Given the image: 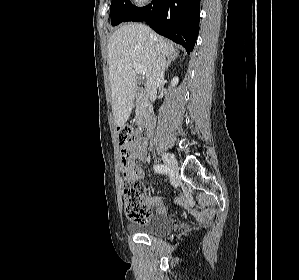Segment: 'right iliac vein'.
Masks as SVG:
<instances>
[{"label": "right iliac vein", "mask_w": 299, "mask_h": 280, "mask_svg": "<svg viewBox=\"0 0 299 280\" xmlns=\"http://www.w3.org/2000/svg\"><path fill=\"white\" fill-rule=\"evenodd\" d=\"M163 161L165 165L172 171L176 172L178 170V164L176 159L169 153L162 154Z\"/></svg>", "instance_id": "1"}]
</instances>
